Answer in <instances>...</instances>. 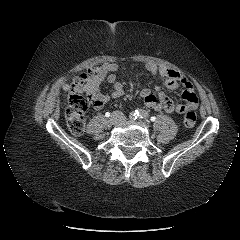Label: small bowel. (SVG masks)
Segmentation results:
<instances>
[{"instance_id": "1", "label": "small bowel", "mask_w": 240, "mask_h": 240, "mask_svg": "<svg viewBox=\"0 0 240 240\" xmlns=\"http://www.w3.org/2000/svg\"><path fill=\"white\" fill-rule=\"evenodd\" d=\"M118 68L119 65L115 62L92 68V71L96 70L99 74L90 81L86 88V93L95 110L101 109L111 98H119L123 95V86L116 81L115 72ZM145 69L150 74L161 77L165 88L169 90L180 89L182 98L186 102L185 104L174 102L159 86L155 88L156 94L151 89L144 88L140 92V97L148 108L167 113H185L188 106L197 107L198 99L194 87L184 74L165 66H159L153 62L146 63ZM104 79H107L113 85L111 93L101 92L99 86Z\"/></svg>"}]
</instances>
